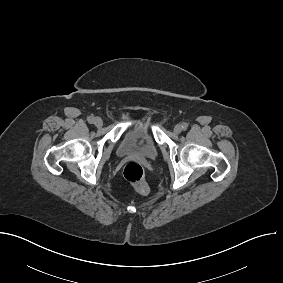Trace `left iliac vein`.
<instances>
[{
  "instance_id": "1",
  "label": "left iliac vein",
  "mask_w": 283,
  "mask_h": 283,
  "mask_svg": "<svg viewBox=\"0 0 283 283\" xmlns=\"http://www.w3.org/2000/svg\"><path fill=\"white\" fill-rule=\"evenodd\" d=\"M181 131H182V126H181V125H176V126L174 127V133H175V134H180Z\"/></svg>"
}]
</instances>
